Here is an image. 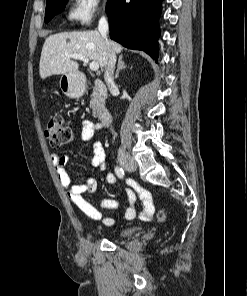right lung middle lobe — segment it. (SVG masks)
I'll use <instances>...</instances> for the list:
<instances>
[{
	"label": "right lung middle lobe",
	"instance_id": "obj_1",
	"mask_svg": "<svg viewBox=\"0 0 247 296\" xmlns=\"http://www.w3.org/2000/svg\"><path fill=\"white\" fill-rule=\"evenodd\" d=\"M68 0H47L45 22H49L56 14L63 11L65 4ZM109 2V0H108Z\"/></svg>",
	"mask_w": 247,
	"mask_h": 296
}]
</instances>
